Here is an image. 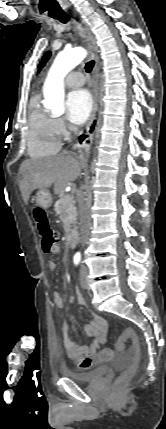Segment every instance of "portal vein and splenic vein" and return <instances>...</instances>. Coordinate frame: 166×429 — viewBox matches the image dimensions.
Masks as SVG:
<instances>
[{"instance_id": "portal-vein-and-splenic-vein-1", "label": "portal vein and splenic vein", "mask_w": 166, "mask_h": 429, "mask_svg": "<svg viewBox=\"0 0 166 429\" xmlns=\"http://www.w3.org/2000/svg\"><path fill=\"white\" fill-rule=\"evenodd\" d=\"M67 200H70V196H67Z\"/></svg>"}]
</instances>
